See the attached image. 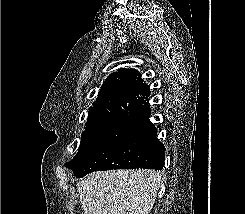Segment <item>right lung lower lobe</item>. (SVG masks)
<instances>
[{"instance_id": "obj_1", "label": "right lung lower lobe", "mask_w": 245, "mask_h": 214, "mask_svg": "<svg viewBox=\"0 0 245 214\" xmlns=\"http://www.w3.org/2000/svg\"><path fill=\"white\" fill-rule=\"evenodd\" d=\"M143 97L140 106L141 118L131 128L128 137L117 147L119 166L116 169H162L165 147L158 140L157 130L149 121L150 106Z\"/></svg>"}]
</instances>
